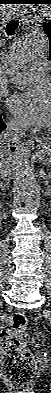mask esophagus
<instances>
[{"label":"esophagus","instance_id":"34e87169","mask_svg":"<svg viewBox=\"0 0 51 393\" xmlns=\"http://www.w3.org/2000/svg\"><path fill=\"white\" fill-rule=\"evenodd\" d=\"M35 139L37 140V142H38L39 144H41V140H40V139H38L37 137H36Z\"/></svg>","mask_w":51,"mask_h":393}]
</instances>
